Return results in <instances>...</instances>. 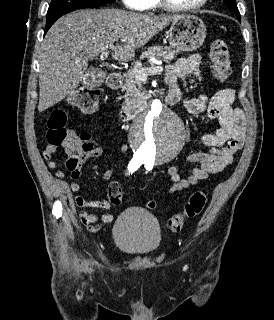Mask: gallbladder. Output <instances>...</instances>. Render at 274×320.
<instances>
[{
  "mask_svg": "<svg viewBox=\"0 0 274 320\" xmlns=\"http://www.w3.org/2000/svg\"><path fill=\"white\" fill-rule=\"evenodd\" d=\"M84 77L80 79L81 85H102L106 82L107 72H103L102 68H88Z\"/></svg>",
  "mask_w": 274,
  "mask_h": 320,
  "instance_id": "bac80fb5",
  "label": "gallbladder"
}]
</instances>
